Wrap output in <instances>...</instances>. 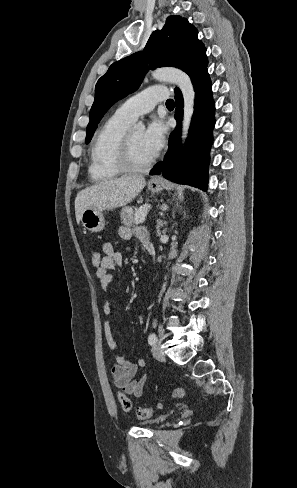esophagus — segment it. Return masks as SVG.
<instances>
[{"label": "esophagus", "mask_w": 297, "mask_h": 488, "mask_svg": "<svg viewBox=\"0 0 297 488\" xmlns=\"http://www.w3.org/2000/svg\"><path fill=\"white\" fill-rule=\"evenodd\" d=\"M161 182V177H154L151 179L150 184L154 185Z\"/></svg>", "instance_id": "1"}]
</instances>
